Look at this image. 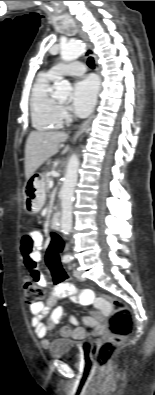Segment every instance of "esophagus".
<instances>
[{"label":"esophagus","mask_w":155,"mask_h":395,"mask_svg":"<svg viewBox=\"0 0 155 395\" xmlns=\"http://www.w3.org/2000/svg\"><path fill=\"white\" fill-rule=\"evenodd\" d=\"M78 31H79V34H80L81 38H82L83 41L85 42V45H86V53H87L89 56L93 57V59H94V61H95V65H96V70H97V72L100 74L101 68H100V65L98 64L97 57H96V55H95L94 52H93L92 46L90 45V43H89V41H88L87 35L81 30L80 27H78ZM92 118H93V115H91V116L81 125L79 131H77V132L75 133V135H74L75 138H76V137H77V136H78L88 125H89V123H90V121H91Z\"/></svg>","instance_id":"1"}]
</instances>
